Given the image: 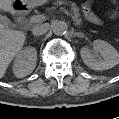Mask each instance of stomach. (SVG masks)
<instances>
[{
    "mask_svg": "<svg viewBox=\"0 0 119 119\" xmlns=\"http://www.w3.org/2000/svg\"><path fill=\"white\" fill-rule=\"evenodd\" d=\"M46 1L48 0H22L24 4H28V5H37V4L44 3Z\"/></svg>",
    "mask_w": 119,
    "mask_h": 119,
    "instance_id": "1",
    "label": "stomach"
}]
</instances>
